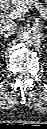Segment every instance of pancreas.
I'll return each instance as SVG.
<instances>
[{
    "instance_id": "obj_1",
    "label": "pancreas",
    "mask_w": 47,
    "mask_h": 129,
    "mask_svg": "<svg viewBox=\"0 0 47 129\" xmlns=\"http://www.w3.org/2000/svg\"><path fill=\"white\" fill-rule=\"evenodd\" d=\"M24 0H11L12 5L17 6L23 3Z\"/></svg>"
}]
</instances>
